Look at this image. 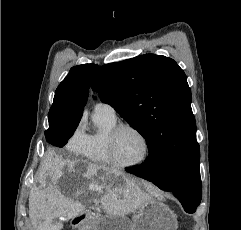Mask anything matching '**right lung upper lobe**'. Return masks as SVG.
<instances>
[{"mask_svg": "<svg viewBox=\"0 0 241 230\" xmlns=\"http://www.w3.org/2000/svg\"><path fill=\"white\" fill-rule=\"evenodd\" d=\"M97 68L98 65L95 64H83L71 68L55 91L54 102L49 111V122H80Z\"/></svg>", "mask_w": 241, "mask_h": 230, "instance_id": "obj_1", "label": "right lung upper lobe"}]
</instances>
